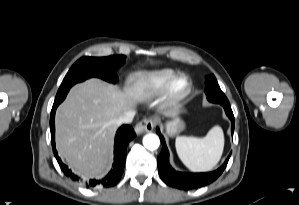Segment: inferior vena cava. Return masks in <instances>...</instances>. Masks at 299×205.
Here are the masks:
<instances>
[{
  "instance_id": "602c4592",
  "label": "inferior vena cava",
  "mask_w": 299,
  "mask_h": 205,
  "mask_svg": "<svg viewBox=\"0 0 299 205\" xmlns=\"http://www.w3.org/2000/svg\"><path fill=\"white\" fill-rule=\"evenodd\" d=\"M134 116H135L134 111H128L117 120V124L121 125V124L131 123L133 121Z\"/></svg>"
}]
</instances>
